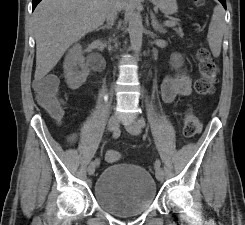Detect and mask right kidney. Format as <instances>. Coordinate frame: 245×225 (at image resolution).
<instances>
[{
  "mask_svg": "<svg viewBox=\"0 0 245 225\" xmlns=\"http://www.w3.org/2000/svg\"><path fill=\"white\" fill-rule=\"evenodd\" d=\"M63 68L69 88L73 90L78 89L86 81L89 68L85 63L81 45L75 44L69 49L63 63Z\"/></svg>",
  "mask_w": 245,
  "mask_h": 225,
  "instance_id": "1",
  "label": "right kidney"
}]
</instances>
